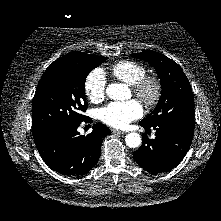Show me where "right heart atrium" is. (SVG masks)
<instances>
[{"label":"right heart atrium","instance_id":"obj_1","mask_svg":"<svg viewBox=\"0 0 221 221\" xmlns=\"http://www.w3.org/2000/svg\"><path fill=\"white\" fill-rule=\"evenodd\" d=\"M107 80L102 69L92 70L84 82V92L92 103H100L106 94Z\"/></svg>","mask_w":221,"mask_h":221}]
</instances>
